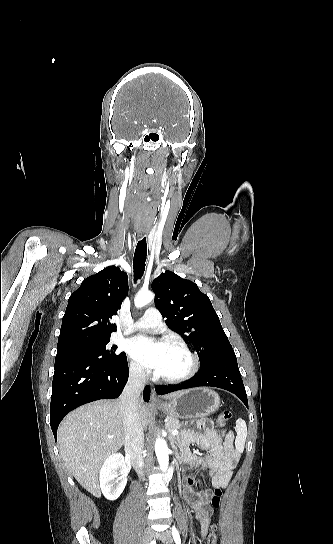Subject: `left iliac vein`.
<instances>
[{"label": "left iliac vein", "instance_id": "obj_1", "mask_svg": "<svg viewBox=\"0 0 333 544\" xmlns=\"http://www.w3.org/2000/svg\"><path fill=\"white\" fill-rule=\"evenodd\" d=\"M164 544H172L173 536L170 530H165L157 535Z\"/></svg>", "mask_w": 333, "mask_h": 544}]
</instances>
